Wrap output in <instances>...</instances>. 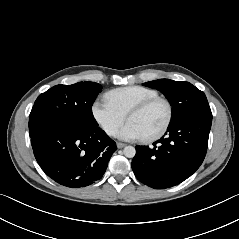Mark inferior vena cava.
Returning <instances> with one entry per match:
<instances>
[{
	"label": "inferior vena cava",
	"instance_id": "inferior-vena-cava-1",
	"mask_svg": "<svg viewBox=\"0 0 239 239\" xmlns=\"http://www.w3.org/2000/svg\"><path fill=\"white\" fill-rule=\"evenodd\" d=\"M115 133H116V129L110 130V134H111V135H114Z\"/></svg>",
	"mask_w": 239,
	"mask_h": 239
}]
</instances>
